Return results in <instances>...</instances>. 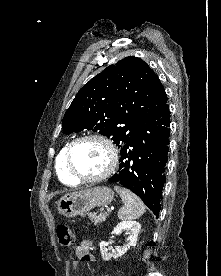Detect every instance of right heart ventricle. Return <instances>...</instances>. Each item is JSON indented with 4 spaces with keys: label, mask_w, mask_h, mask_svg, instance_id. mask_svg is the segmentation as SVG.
Here are the masks:
<instances>
[{
    "label": "right heart ventricle",
    "mask_w": 221,
    "mask_h": 276,
    "mask_svg": "<svg viewBox=\"0 0 221 276\" xmlns=\"http://www.w3.org/2000/svg\"><path fill=\"white\" fill-rule=\"evenodd\" d=\"M67 149V145H65L59 152L56 158V172L59 179L69 185L77 184L78 181L71 177L67 171L66 164H65V152Z\"/></svg>",
    "instance_id": "e07e8e85"
}]
</instances>
